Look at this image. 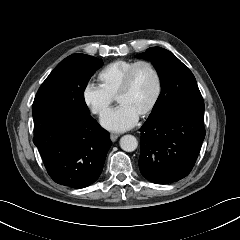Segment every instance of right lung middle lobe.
<instances>
[{
    "label": "right lung middle lobe",
    "mask_w": 240,
    "mask_h": 240,
    "mask_svg": "<svg viewBox=\"0 0 240 240\" xmlns=\"http://www.w3.org/2000/svg\"><path fill=\"white\" fill-rule=\"evenodd\" d=\"M102 64L100 59L85 54L68 56L42 83L32 110L58 108L90 114L84 100V90L93 73Z\"/></svg>",
    "instance_id": "1"
}]
</instances>
